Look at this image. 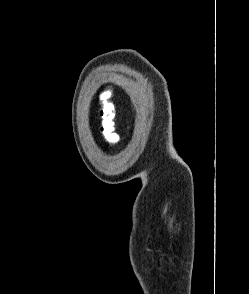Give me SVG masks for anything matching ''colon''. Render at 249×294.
<instances>
[{
	"instance_id": "colon-1",
	"label": "colon",
	"mask_w": 249,
	"mask_h": 294,
	"mask_svg": "<svg viewBox=\"0 0 249 294\" xmlns=\"http://www.w3.org/2000/svg\"><path fill=\"white\" fill-rule=\"evenodd\" d=\"M111 92L104 91L99 96V115L101 119V132L109 142H116L117 138L113 133L114 129V106L110 101Z\"/></svg>"
}]
</instances>
